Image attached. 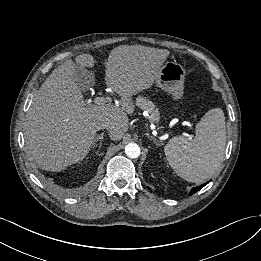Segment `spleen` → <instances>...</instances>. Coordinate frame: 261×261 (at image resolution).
Instances as JSON below:
<instances>
[{"mask_svg": "<svg viewBox=\"0 0 261 261\" xmlns=\"http://www.w3.org/2000/svg\"><path fill=\"white\" fill-rule=\"evenodd\" d=\"M194 139L175 136L165 145V156L181 178L200 183L210 178L224 159L225 117L221 108L209 110L197 123Z\"/></svg>", "mask_w": 261, "mask_h": 261, "instance_id": "1", "label": "spleen"}]
</instances>
